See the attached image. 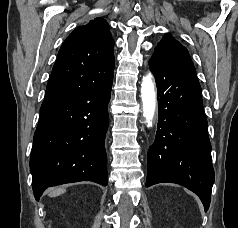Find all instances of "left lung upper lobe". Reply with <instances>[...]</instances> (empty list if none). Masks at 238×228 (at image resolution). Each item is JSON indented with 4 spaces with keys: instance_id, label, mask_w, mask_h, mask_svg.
Masks as SVG:
<instances>
[{
    "instance_id": "5c2ea615",
    "label": "left lung upper lobe",
    "mask_w": 238,
    "mask_h": 228,
    "mask_svg": "<svg viewBox=\"0 0 238 228\" xmlns=\"http://www.w3.org/2000/svg\"><path fill=\"white\" fill-rule=\"evenodd\" d=\"M156 51L164 52L170 58H173L177 61L186 62L193 66L188 50L177 40L171 37L170 34L165 35L158 43L157 47L155 48V52Z\"/></svg>"
}]
</instances>
